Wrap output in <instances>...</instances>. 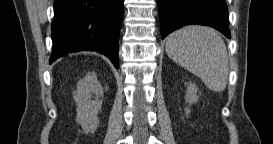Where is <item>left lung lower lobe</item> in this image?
<instances>
[{
  "label": "left lung lower lobe",
  "mask_w": 273,
  "mask_h": 144,
  "mask_svg": "<svg viewBox=\"0 0 273 144\" xmlns=\"http://www.w3.org/2000/svg\"><path fill=\"white\" fill-rule=\"evenodd\" d=\"M162 39L189 24L213 27L230 38L225 0H158Z\"/></svg>",
  "instance_id": "1"
}]
</instances>
